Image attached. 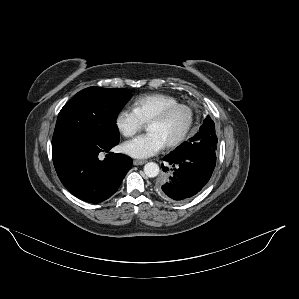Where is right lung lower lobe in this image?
Returning a JSON list of instances; mask_svg holds the SVG:
<instances>
[{"label": "right lung lower lobe", "instance_id": "98d812e1", "mask_svg": "<svg viewBox=\"0 0 299 299\" xmlns=\"http://www.w3.org/2000/svg\"><path fill=\"white\" fill-rule=\"evenodd\" d=\"M117 144L75 139L53 145V163L63 185L86 202L99 203L111 197L131 168L132 160L110 152L101 161L98 155Z\"/></svg>", "mask_w": 299, "mask_h": 299}]
</instances>
